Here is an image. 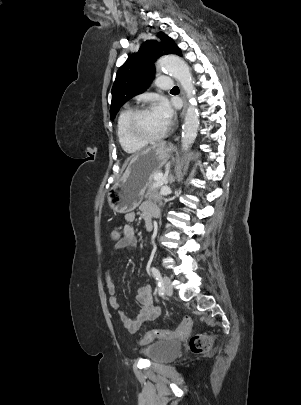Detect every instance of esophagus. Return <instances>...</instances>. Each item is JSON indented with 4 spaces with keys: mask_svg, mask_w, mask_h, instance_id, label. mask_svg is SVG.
<instances>
[{
    "mask_svg": "<svg viewBox=\"0 0 301 405\" xmlns=\"http://www.w3.org/2000/svg\"><path fill=\"white\" fill-rule=\"evenodd\" d=\"M181 93L183 94L184 103H185V104H184V108H183V110H182V112H181V114H180V119L182 120V119L184 118V115H185V112H186L187 101H186V98H185L183 89H181Z\"/></svg>",
    "mask_w": 301,
    "mask_h": 405,
    "instance_id": "1",
    "label": "esophagus"
}]
</instances>
